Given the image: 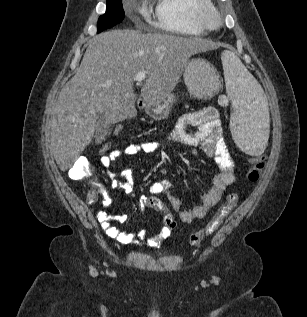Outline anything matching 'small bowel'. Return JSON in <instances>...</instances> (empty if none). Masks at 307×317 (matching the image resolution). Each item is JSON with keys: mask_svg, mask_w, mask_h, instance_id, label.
Returning <instances> with one entry per match:
<instances>
[{"mask_svg": "<svg viewBox=\"0 0 307 317\" xmlns=\"http://www.w3.org/2000/svg\"><path fill=\"white\" fill-rule=\"evenodd\" d=\"M197 127V131L189 132L188 127ZM181 144L189 147H200L210 158H212L219 168V173L212 179V186L203 196L202 203L193 208L183 207L180 199L172 192V182L168 179H162L154 182L148 193L150 196L165 194L171 206L178 212L183 222L189 223L195 219L204 218L207 213L219 202L225 189L235 180V165L229 154L222 135V125L219 119V112L215 107L208 106L197 112H190L182 115L176 122L175 128L164 142L144 141L132 143L123 148L113 150L108 155L100 158V163L105 169L107 176L111 179V188L122 189L128 196L133 194L132 180L127 171L119 175L111 171L113 162L121 157H128L137 154H157L164 145ZM98 193L102 196V205L107 208L112 200L108 191L98 188ZM95 199L89 201L95 202ZM149 196H142L139 200V207L143 211L148 206ZM97 220L104 232L111 238L116 239L123 244H137L139 240H146L150 247H158L162 241L170 235V230L163 228L159 234L146 237L144 231L138 233H127L112 224V221L119 223L126 222L129 214H122L111 217L105 210L97 213Z\"/></svg>", "mask_w": 307, "mask_h": 317, "instance_id": "1", "label": "small bowel"}]
</instances>
